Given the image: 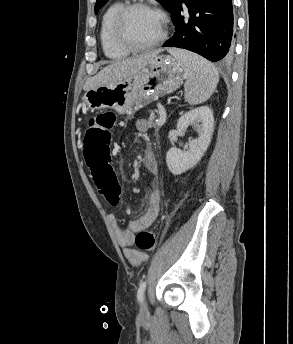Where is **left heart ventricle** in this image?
<instances>
[{"label":"left heart ventricle","mask_w":293,"mask_h":344,"mask_svg":"<svg viewBox=\"0 0 293 344\" xmlns=\"http://www.w3.org/2000/svg\"><path fill=\"white\" fill-rule=\"evenodd\" d=\"M162 30L159 17L147 10L136 9L130 12L125 20L124 31L135 43L143 44L157 38Z\"/></svg>","instance_id":"b2bd125f"}]
</instances>
